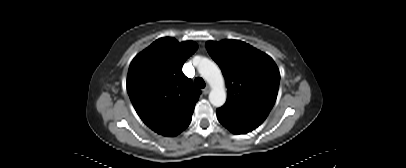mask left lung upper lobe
Listing matches in <instances>:
<instances>
[{"label":"left lung upper lobe","mask_w":406,"mask_h":168,"mask_svg":"<svg viewBox=\"0 0 406 168\" xmlns=\"http://www.w3.org/2000/svg\"><path fill=\"white\" fill-rule=\"evenodd\" d=\"M206 48L220 66L228 88L221 108L264 121L275 103L280 81L273 59L238 40L208 41Z\"/></svg>","instance_id":"1"}]
</instances>
